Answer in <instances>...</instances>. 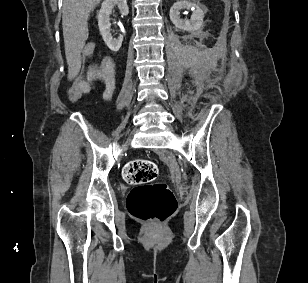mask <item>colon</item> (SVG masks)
<instances>
[{
    "label": "colon",
    "mask_w": 308,
    "mask_h": 283,
    "mask_svg": "<svg viewBox=\"0 0 308 283\" xmlns=\"http://www.w3.org/2000/svg\"><path fill=\"white\" fill-rule=\"evenodd\" d=\"M95 52V43L89 41L81 50L80 63L73 86L69 89L71 100H78L83 93L89 91L85 77L89 60ZM158 174L157 165L150 160L135 159L129 161L123 168V179L133 185L128 198L127 207L132 216L150 224H161L166 221L176 209V199L164 183H152Z\"/></svg>",
    "instance_id": "obj_1"
}]
</instances>
